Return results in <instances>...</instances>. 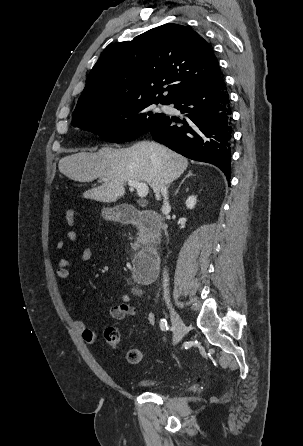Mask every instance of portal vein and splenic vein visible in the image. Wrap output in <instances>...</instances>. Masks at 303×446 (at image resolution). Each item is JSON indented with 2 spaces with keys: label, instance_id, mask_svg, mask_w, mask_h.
<instances>
[{
  "label": "portal vein and splenic vein",
  "instance_id": "18ae733b",
  "mask_svg": "<svg viewBox=\"0 0 303 446\" xmlns=\"http://www.w3.org/2000/svg\"><path fill=\"white\" fill-rule=\"evenodd\" d=\"M104 181H107V179H104ZM128 185L130 187L136 188L137 194L140 198H144L147 196L149 187L146 183L130 180L128 181Z\"/></svg>",
  "mask_w": 303,
  "mask_h": 446
}]
</instances>
